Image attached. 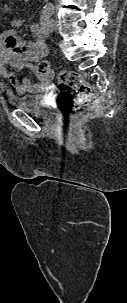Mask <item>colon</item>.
<instances>
[{
	"instance_id": "1",
	"label": "colon",
	"mask_w": 127,
	"mask_h": 303,
	"mask_svg": "<svg viewBox=\"0 0 127 303\" xmlns=\"http://www.w3.org/2000/svg\"><path fill=\"white\" fill-rule=\"evenodd\" d=\"M15 42V40H11ZM49 70L47 61L40 62L38 71L42 74ZM57 84L62 89L60 106L66 115H76L93 107L96 102V92L84 77L75 71L62 70L57 74Z\"/></svg>"
}]
</instances>
